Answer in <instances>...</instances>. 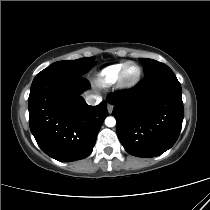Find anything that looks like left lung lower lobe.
Here are the masks:
<instances>
[{
	"instance_id": "left-lung-lower-lobe-1",
	"label": "left lung lower lobe",
	"mask_w": 210,
	"mask_h": 210,
	"mask_svg": "<svg viewBox=\"0 0 210 210\" xmlns=\"http://www.w3.org/2000/svg\"><path fill=\"white\" fill-rule=\"evenodd\" d=\"M181 85L166 67L145 77L135 88L108 96L114 105L117 134L125 150L155 157L171 148L184 117Z\"/></svg>"
}]
</instances>
